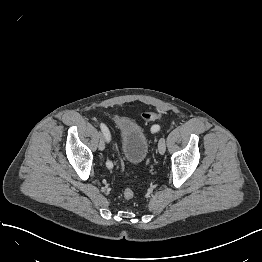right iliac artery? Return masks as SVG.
Masks as SVG:
<instances>
[{
	"mask_svg": "<svg viewBox=\"0 0 262 262\" xmlns=\"http://www.w3.org/2000/svg\"><path fill=\"white\" fill-rule=\"evenodd\" d=\"M100 128H101L106 140L109 141L110 140V132H109L108 128L102 123L100 124ZM106 164H107V167H109V168L113 167V164L110 161H107Z\"/></svg>",
	"mask_w": 262,
	"mask_h": 262,
	"instance_id": "right-iliac-artery-1",
	"label": "right iliac artery"
}]
</instances>
